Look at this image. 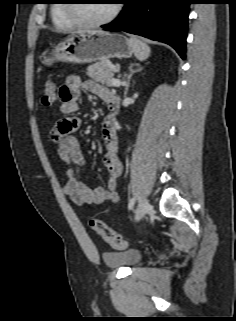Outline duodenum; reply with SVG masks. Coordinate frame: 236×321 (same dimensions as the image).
<instances>
[{"label":"duodenum","instance_id":"410a0bca","mask_svg":"<svg viewBox=\"0 0 236 321\" xmlns=\"http://www.w3.org/2000/svg\"><path fill=\"white\" fill-rule=\"evenodd\" d=\"M108 108L112 115H116L120 111V99L117 96H111L108 101Z\"/></svg>","mask_w":236,"mask_h":321}]
</instances>
